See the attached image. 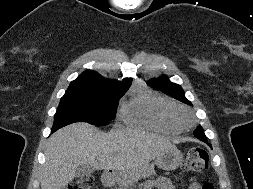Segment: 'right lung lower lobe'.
Here are the masks:
<instances>
[{
	"label": "right lung lower lobe",
	"mask_w": 253,
	"mask_h": 189,
	"mask_svg": "<svg viewBox=\"0 0 253 189\" xmlns=\"http://www.w3.org/2000/svg\"><path fill=\"white\" fill-rule=\"evenodd\" d=\"M56 130H58V129L52 128L51 133L55 132Z\"/></svg>",
	"instance_id": "right-lung-lower-lobe-1"
}]
</instances>
